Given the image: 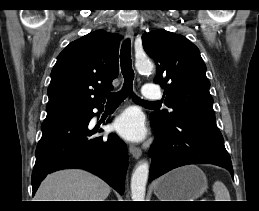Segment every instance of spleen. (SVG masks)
<instances>
[{
    "instance_id": "3e777b00",
    "label": "spleen",
    "mask_w": 259,
    "mask_h": 211,
    "mask_svg": "<svg viewBox=\"0 0 259 211\" xmlns=\"http://www.w3.org/2000/svg\"><path fill=\"white\" fill-rule=\"evenodd\" d=\"M213 191L216 201H231L229 191L221 181L214 182Z\"/></svg>"
}]
</instances>
